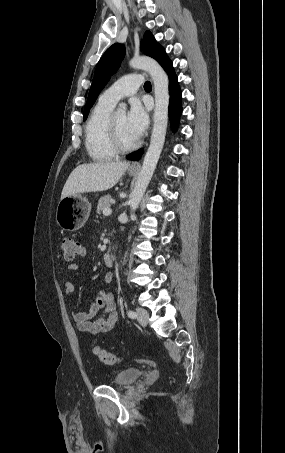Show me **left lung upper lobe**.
Returning a JSON list of instances; mask_svg holds the SVG:
<instances>
[{
    "mask_svg": "<svg viewBox=\"0 0 285 453\" xmlns=\"http://www.w3.org/2000/svg\"><path fill=\"white\" fill-rule=\"evenodd\" d=\"M142 51L155 60H159L165 53L164 48L156 42L151 32L146 31L144 34V43L141 44ZM125 55V47L122 44L115 43L109 47L97 64L89 96L85 105L83 120L89 114L90 108L96 101L100 91L106 85L111 75L118 69Z\"/></svg>",
    "mask_w": 285,
    "mask_h": 453,
    "instance_id": "5c2ea615",
    "label": "left lung upper lobe"
}]
</instances>
